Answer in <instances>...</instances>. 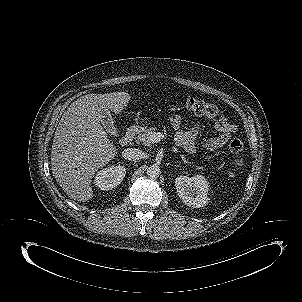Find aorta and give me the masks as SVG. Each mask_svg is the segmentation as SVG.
Wrapping results in <instances>:
<instances>
[{
    "mask_svg": "<svg viewBox=\"0 0 302 302\" xmlns=\"http://www.w3.org/2000/svg\"><path fill=\"white\" fill-rule=\"evenodd\" d=\"M160 172V167L158 165H151L147 168L146 174L150 178H158Z\"/></svg>",
    "mask_w": 302,
    "mask_h": 302,
    "instance_id": "aorta-1",
    "label": "aorta"
}]
</instances>
